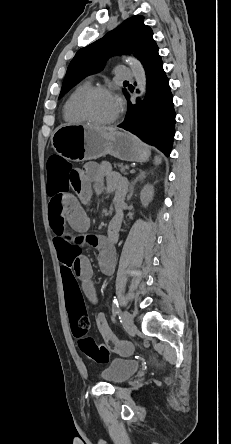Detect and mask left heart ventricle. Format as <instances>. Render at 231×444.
I'll return each mask as SVG.
<instances>
[{
  "mask_svg": "<svg viewBox=\"0 0 231 444\" xmlns=\"http://www.w3.org/2000/svg\"><path fill=\"white\" fill-rule=\"evenodd\" d=\"M89 110L96 120L106 121L116 116L119 110V105L114 95L98 93L91 98L89 102Z\"/></svg>",
  "mask_w": 231,
  "mask_h": 444,
  "instance_id": "1",
  "label": "left heart ventricle"
}]
</instances>
